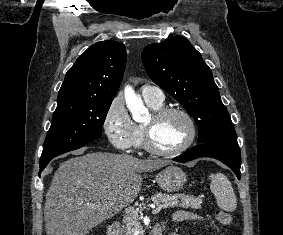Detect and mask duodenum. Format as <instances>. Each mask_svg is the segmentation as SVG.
Masks as SVG:
<instances>
[{
  "label": "duodenum",
  "instance_id": "1",
  "mask_svg": "<svg viewBox=\"0 0 283 235\" xmlns=\"http://www.w3.org/2000/svg\"><path fill=\"white\" fill-rule=\"evenodd\" d=\"M119 232V224L118 223H113L112 225H110L108 231H107V235H118ZM150 235H162V228L160 225H156Z\"/></svg>",
  "mask_w": 283,
  "mask_h": 235
}]
</instances>
